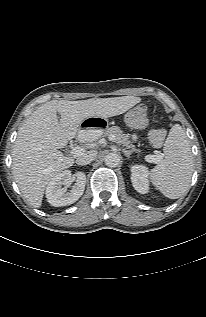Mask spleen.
Segmentation results:
<instances>
[{"label": "spleen", "mask_w": 206, "mask_h": 317, "mask_svg": "<svg viewBox=\"0 0 206 317\" xmlns=\"http://www.w3.org/2000/svg\"><path fill=\"white\" fill-rule=\"evenodd\" d=\"M164 154V160L151 170L150 179L165 197L177 199L188 190L194 171L190 143L179 124L170 129Z\"/></svg>", "instance_id": "3e777b00"}]
</instances>
